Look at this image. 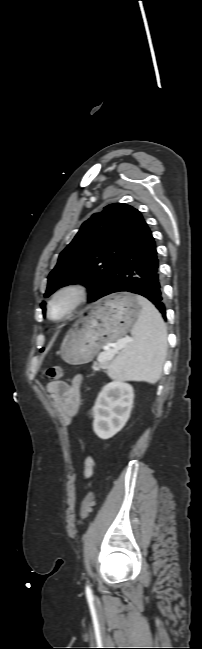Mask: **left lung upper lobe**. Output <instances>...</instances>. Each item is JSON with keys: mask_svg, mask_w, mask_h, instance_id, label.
Masks as SVG:
<instances>
[{"mask_svg": "<svg viewBox=\"0 0 202 649\" xmlns=\"http://www.w3.org/2000/svg\"><path fill=\"white\" fill-rule=\"evenodd\" d=\"M143 222L137 209L123 203L110 204L93 214L59 255L44 296L71 283H82L91 288L89 301H96L126 244ZM42 309L45 312L43 304Z\"/></svg>", "mask_w": 202, "mask_h": 649, "instance_id": "5c2ea615", "label": "left lung upper lobe"}]
</instances>
